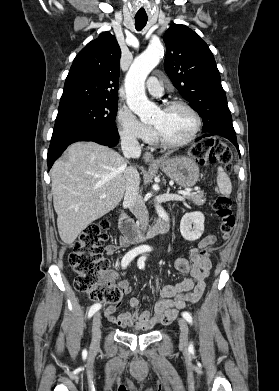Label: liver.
I'll return each mask as SVG.
<instances>
[{"mask_svg":"<svg viewBox=\"0 0 279 391\" xmlns=\"http://www.w3.org/2000/svg\"><path fill=\"white\" fill-rule=\"evenodd\" d=\"M126 166L119 153L94 142L72 144L66 160L54 163L50 173L53 204L64 243L72 244L89 224L120 203Z\"/></svg>","mask_w":279,"mask_h":391,"instance_id":"obj_1","label":"liver"}]
</instances>
